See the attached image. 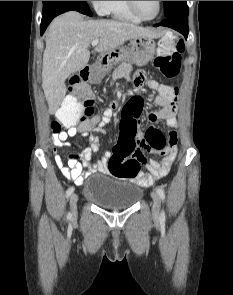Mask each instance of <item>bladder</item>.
Masks as SVG:
<instances>
[{
  "mask_svg": "<svg viewBox=\"0 0 233 295\" xmlns=\"http://www.w3.org/2000/svg\"><path fill=\"white\" fill-rule=\"evenodd\" d=\"M86 200L109 210H124L136 205L142 189L123 179L102 175L89 177L83 189Z\"/></svg>",
  "mask_w": 233,
  "mask_h": 295,
  "instance_id": "31cf9c89",
  "label": "bladder"
}]
</instances>
